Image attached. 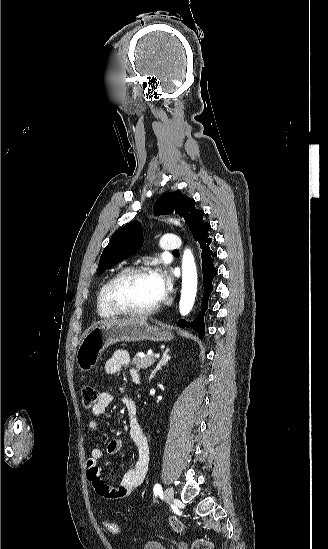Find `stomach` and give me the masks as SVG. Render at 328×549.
<instances>
[{
	"label": "stomach",
	"instance_id": "stomach-1",
	"mask_svg": "<svg viewBox=\"0 0 328 549\" xmlns=\"http://www.w3.org/2000/svg\"><path fill=\"white\" fill-rule=\"evenodd\" d=\"M174 335L168 327L150 325L146 317L130 319V323H111L104 327H90L76 353V363L83 373L96 367L103 351L121 341H171Z\"/></svg>",
	"mask_w": 328,
	"mask_h": 549
}]
</instances>
